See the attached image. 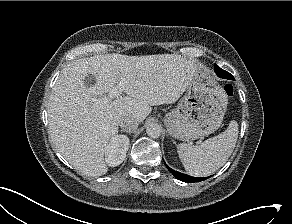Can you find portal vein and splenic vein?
I'll return each instance as SVG.
<instances>
[{
	"label": "portal vein and splenic vein",
	"instance_id": "1",
	"mask_svg": "<svg viewBox=\"0 0 292 224\" xmlns=\"http://www.w3.org/2000/svg\"><path fill=\"white\" fill-rule=\"evenodd\" d=\"M126 86L125 81H121L118 87L113 88L109 93L108 97L110 99H113L115 97H118L121 92L123 91L124 87ZM102 99H93L94 104H98Z\"/></svg>",
	"mask_w": 292,
	"mask_h": 224
}]
</instances>
